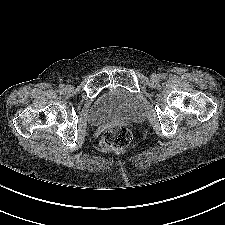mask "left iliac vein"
Listing matches in <instances>:
<instances>
[{
  "label": "left iliac vein",
  "mask_w": 225,
  "mask_h": 225,
  "mask_svg": "<svg viewBox=\"0 0 225 225\" xmlns=\"http://www.w3.org/2000/svg\"><path fill=\"white\" fill-rule=\"evenodd\" d=\"M159 78H160V75H158V74L154 73V74L151 75V79L154 80V81L158 80Z\"/></svg>",
  "instance_id": "1"
}]
</instances>
